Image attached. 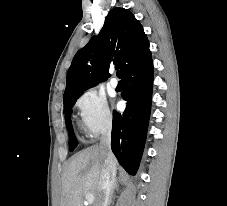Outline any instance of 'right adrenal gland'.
<instances>
[{
	"label": "right adrenal gland",
	"instance_id": "right-adrenal-gland-1",
	"mask_svg": "<svg viewBox=\"0 0 227 206\" xmlns=\"http://www.w3.org/2000/svg\"><path fill=\"white\" fill-rule=\"evenodd\" d=\"M117 187H118V184H117V182H115L114 185H113V188L111 190V194H110V197H109V201H108V205L107 206H110L112 204L114 191L117 189Z\"/></svg>",
	"mask_w": 227,
	"mask_h": 206
}]
</instances>
